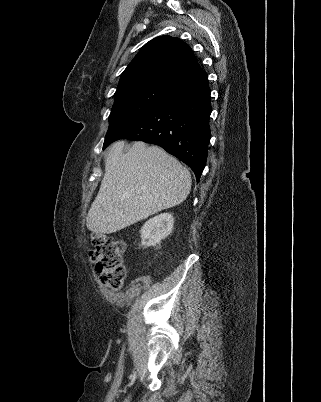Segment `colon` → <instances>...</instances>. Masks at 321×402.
Here are the masks:
<instances>
[{
	"mask_svg": "<svg viewBox=\"0 0 321 402\" xmlns=\"http://www.w3.org/2000/svg\"><path fill=\"white\" fill-rule=\"evenodd\" d=\"M91 243L89 255L95 263L102 285L111 290H119L127 275L122 241L104 233H95Z\"/></svg>",
	"mask_w": 321,
	"mask_h": 402,
	"instance_id": "5ec220e1",
	"label": "colon"
}]
</instances>
